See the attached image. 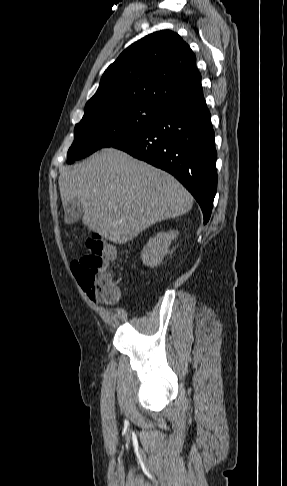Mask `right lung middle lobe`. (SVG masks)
<instances>
[{"mask_svg":"<svg viewBox=\"0 0 287 486\" xmlns=\"http://www.w3.org/2000/svg\"><path fill=\"white\" fill-rule=\"evenodd\" d=\"M168 108L147 101L117 102L85 109L75 126L67 162L84 158L103 147L124 143L153 124Z\"/></svg>","mask_w":287,"mask_h":486,"instance_id":"1","label":"right lung middle lobe"}]
</instances>
